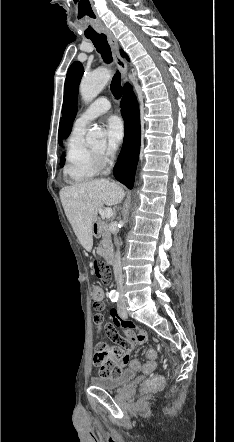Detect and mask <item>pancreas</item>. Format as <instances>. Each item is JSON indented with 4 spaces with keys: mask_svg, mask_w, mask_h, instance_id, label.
Listing matches in <instances>:
<instances>
[{
    "mask_svg": "<svg viewBox=\"0 0 234 442\" xmlns=\"http://www.w3.org/2000/svg\"><path fill=\"white\" fill-rule=\"evenodd\" d=\"M102 229H103V233H102V241L100 242V248H99V253L102 255H105V249H109L112 246L111 243V234L109 232L108 229V224L106 222H102Z\"/></svg>",
    "mask_w": 234,
    "mask_h": 442,
    "instance_id": "cf45deb5",
    "label": "pancreas"
}]
</instances>
